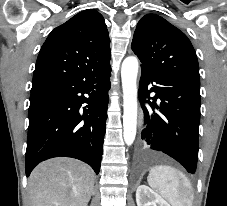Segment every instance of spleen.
Instances as JSON below:
<instances>
[{
	"label": "spleen",
	"instance_id": "spleen-1",
	"mask_svg": "<svg viewBox=\"0 0 227 206\" xmlns=\"http://www.w3.org/2000/svg\"><path fill=\"white\" fill-rule=\"evenodd\" d=\"M147 181L172 206H191L192 186L189 180L173 167L159 165L151 168Z\"/></svg>",
	"mask_w": 227,
	"mask_h": 206
}]
</instances>
